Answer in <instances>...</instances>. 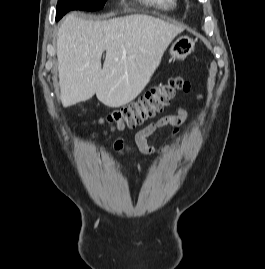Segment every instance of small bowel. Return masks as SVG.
<instances>
[{"label": "small bowel", "instance_id": "c3829d8e", "mask_svg": "<svg viewBox=\"0 0 265 269\" xmlns=\"http://www.w3.org/2000/svg\"><path fill=\"white\" fill-rule=\"evenodd\" d=\"M199 97L202 98L203 94H200ZM189 119H190L189 114L185 109L181 107L176 108L173 114L162 116L156 121L151 122L146 127L138 131L135 135L136 148L141 153L146 155H155L157 153L165 151L167 149V146L157 149L148 144L147 138L157 129L162 128L164 126H173L174 127L173 133L177 134ZM115 150L119 153H123L128 150V147L123 143V141L119 140L115 143Z\"/></svg>", "mask_w": 265, "mask_h": 269}]
</instances>
